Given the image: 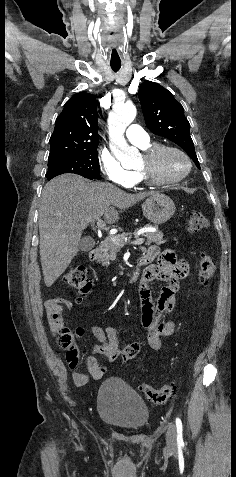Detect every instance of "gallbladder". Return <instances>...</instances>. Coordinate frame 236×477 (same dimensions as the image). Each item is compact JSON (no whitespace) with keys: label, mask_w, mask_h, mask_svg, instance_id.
I'll return each mask as SVG.
<instances>
[{"label":"gallbladder","mask_w":236,"mask_h":477,"mask_svg":"<svg viewBox=\"0 0 236 477\" xmlns=\"http://www.w3.org/2000/svg\"><path fill=\"white\" fill-rule=\"evenodd\" d=\"M94 245H95V242H94L93 238L90 237V236H86V237H83L80 240L79 249L81 251L87 252V251L91 250L94 247Z\"/></svg>","instance_id":"obj_1"}]
</instances>
